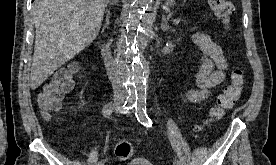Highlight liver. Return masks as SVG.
<instances>
[{"label":"liver","instance_id":"liver-1","mask_svg":"<svg viewBox=\"0 0 276 165\" xmlns=\"http://www.w3.org/2000/svg\"><path fill=\"white\" fill-rule=\"evenodd\" d=\"M109 0H35L30 87L38 88L97 37Z\"/></svg>","mask_w":276,"mask_h":165}]
</instances>
